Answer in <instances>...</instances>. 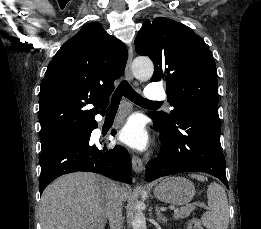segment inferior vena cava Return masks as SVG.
<instances>
[{
    "mask_svg": "<svg viewBox=\"0 0 261 229\" xmlns=\"http://www.w3.org/2000/svg\"><path fill=\"white\" fill-rule=\"evenodd\" d=\"M119 191H121L119 185H113L112 193L108 195L107 217L110 229H123L122 197Z\"/></svg>",
    "mask_w": 261,
    "mask_h": 229,
    "instance_id": "1",
    "label": "inferior vena cava"
}]
</instances>
